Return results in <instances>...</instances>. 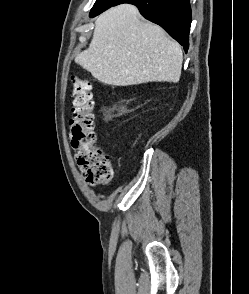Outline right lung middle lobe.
Segmentation results:
<instances>
[{"instance_id":"right-lung-middle-lobe-1","label":"right lung middle lobe","mask_w":249,"mask_h":294,"mask_svg":"<svg viewBox=\"0 0 249 294\" xmlns=\"http://www.w3.org/2000/svg\"><path fill=\"white\" fill-rule=\"evenodd\" d=\"M118 1L120 0H97L90 12V17L100 11L105 10L106 8H109Z\"/></svg>"}]
</instances>
